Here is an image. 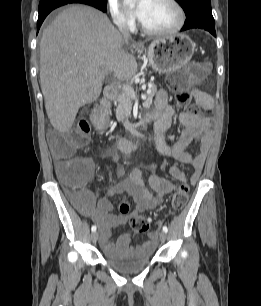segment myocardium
<instances>
[{
    "label": "myocardium",
    "mask_w": 261,
    "mask_h": 306,
    "mask_svg": "<svg viewBox=\"0 0 261 306\" xmlns=\"http://www.w3.org/2000/svg\"><path fill=\"white\" fill-rule=\"evenodd\" d=\"M166 2L171 4L176 11L177 20L175 24L168 29H153L146 26L140 19H138V26L144 33L154 36H167L179 32L184 27L186 22V14L182 5L178 2V0H166Z\"/></svg>",
    "instance_id": "myocardium-1"
}]
</instances>
